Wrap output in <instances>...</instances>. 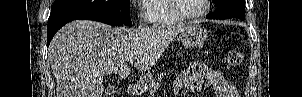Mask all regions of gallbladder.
Here are the masks:
<instances>
[{"instance_id":"gallbladder-1","label":"gallbladder","mask_w":302,"mask_h":97,"mask_svg":"<svg viewBox=\"0 0 302 97\" xmlns=\"http://www.w3.org/2000/svg\"><path fill=\"white\" fill-rule=\"evenodd\" d=\"M116 92V87L114 86H108L106 91H105V94L106 95H112L113 93Z\"/></svg>"}]
</instances>
